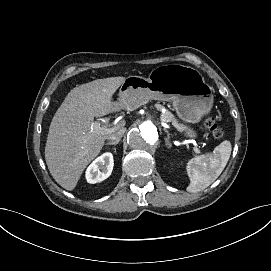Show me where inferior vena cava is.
<instances>
[{"label":"inferior vena cava","mask_w":271,"mask_h":271,"mask_svg":"<svg viewBox=\"0 0 271 271\" xmlns=\"http://www.w3.org/2000/svg\"><path fill=\"white\" fill-rule=\"evenodd\" d=\"M123 133L124 132L122 130H119L117 132H114L113 134H110V135L106 136V139L119 142V140L122 137Z\"/></svg>","instance_id":"obj_1"}]
</instances>
